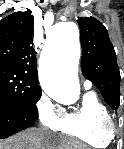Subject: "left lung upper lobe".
Wrapping results in <instances>:
<instances>
[{"label": "left lung upper lobe", "instance_id": "5c2ea615", "mask_svg": "<svg viewBox=\"0 0 124 149\" xmlns=\"http://www.w3.org/2000/svg\"><path fill=\"white\" fill-rule=\"evenodd\" d=\"M77 22L81 32L82 73L100 90L111 108L117 109L120 104V72L108 32L94 17L78 18Z\"/></svg>", "mask_w": 124, "mask_h": 149}]
</instances>
